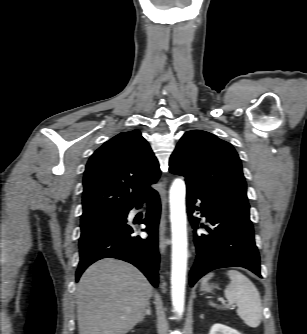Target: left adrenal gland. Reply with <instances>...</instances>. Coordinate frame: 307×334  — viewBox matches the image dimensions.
<instances>
[{"mask_svg": "<svg viewBox=\"0 0 307 334\" xmlns=\"http://www.w3.org/2000/svg\"><path fill=\"white\" fill-rule=\"evenodd\" d=\"M200 318L203 319V318H204V314H201V315H200Z\"/></svg>", "mask_w": 307, "mask_h": 334, "instance_id": "left-adrenal-gland-1", "label": "left adrenal gland"}]
</instances>
